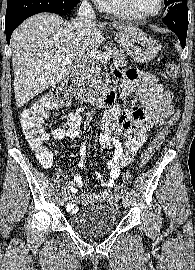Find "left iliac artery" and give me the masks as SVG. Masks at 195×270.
<instances>
[{
	"label": "left iliac artery",
	"instance_id": "obj_1",
	"mask_svg": "<svg viewBox=\"0 0 195 270\" xmlns=\"http://www.w3.org/2000/svg\"><path fill=\"white\" fill-rule=\"evenodd\" d=\"M126 196H127L128 198H130V197H131V195H130V193H129V192H126Z\"/></svg>",
	"mask_w": 195,
	"mask_h": 270
}]
</instances>
